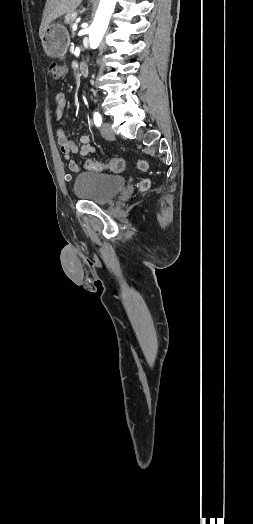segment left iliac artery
Instances as JSON below:
<instances>
[{
  "label": "left iliac artery",
  "mask_w": 253,
  "mask_h": 524,
  "mask_svg": "<svg viewBox=\"0 0 253 524\" xmlns=\"http://www.w3.org/2000/svg\"><path fill=\"white\" fill-rule=\"evenodd\" d=\"M94 123L97 127L101 126L102 123V117L98 112L94 113Z\"/></svg>",
  "instance_id": "left-iliac-artery-1"
}]
</instances>
